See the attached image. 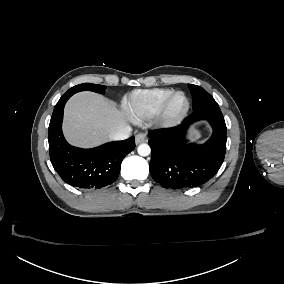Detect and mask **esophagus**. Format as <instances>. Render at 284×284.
Here are the masks:
<instances>
[{"label":"esophagus","mask_w":284,"mask_h":284,"mask_svg":"<svg viewBox=\"0 0 284 284\" xmlns=\"http://www.w3.org/2000/svg\"><path fill=\"white\" fill-rule=\"evenodd\" d=\"M147 139V135L145 133H138L136 136H135V142L136 144H140L142 142H145Z\"/></svg>","instance_id":"esophagus-1"}]
</instances>
